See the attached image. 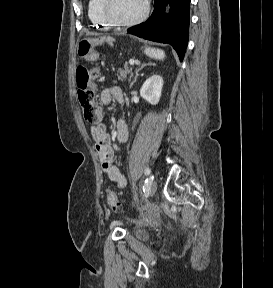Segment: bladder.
<instances>
[{
	"label": "bladder",
	"mask_w": 273,
	"mask_h": 288,
	"mask_svg": "<svg viewBox=\"0 0 273 288\" xmlns=\"http://www.w3.org/2000/svg\"><path fill=\"white\" fill-rule=\"evenodd\" d=\"M134 237L141 240V241H146L149 238V234L146 230L144 229H137L134 232Z\"/></svg>",
	"instance_id": "obj_1"
}]
</instances>
